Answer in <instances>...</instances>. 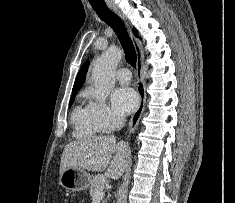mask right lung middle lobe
<instances>
[{"label": "right lung middle lobe", "mask_w": 235, "mask_h": 203, "mask_svg": "<svg viewBox=\"0 0 235 203\" xmlns=\"http://www.w3.org/2000/svg\"><path fill=\"white\" fill-rule=\"evenodd\" d=\"M73 101H74V97L71 98L70 105L73 103Z\"/></svg>", "instance_id": "dd1d6c3e"}]
</instances>
